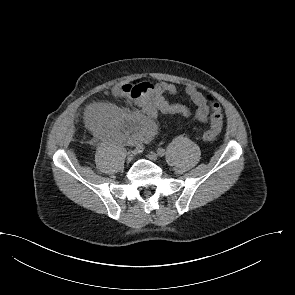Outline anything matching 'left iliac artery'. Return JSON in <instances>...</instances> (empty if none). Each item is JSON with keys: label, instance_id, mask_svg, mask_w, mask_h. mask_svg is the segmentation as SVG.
Instances as JSON below:
<instances>
[{"label": "left iliac artery", "instance_id": "44dca946", "mask_svg": "<svg viewBox=\"0 0 295 295\" xmlns=\"http://www.w3.org/2000/svg\"><path fill=\"white\" fill-rule=\"evenodd\" d=\"M165 149H163V148H158L157 149V154L159 155V156H164L165 155Z\"/></svg>", "mask_w": 295, "mask_h": 295}]
</instances>
